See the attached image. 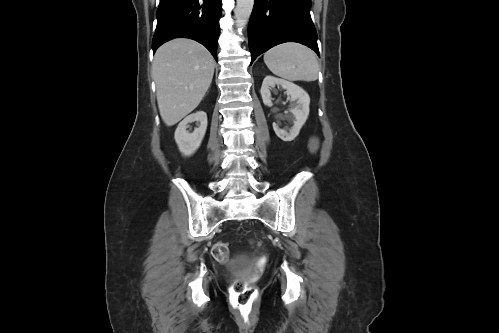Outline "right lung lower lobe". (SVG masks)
I'll list each match as a JSON object with an SVG mask.
<instances>
[{
  "instance_id": "right-lung-lower-lobe-1",
  "label": "right lung lower lobe",
  "mask_w": 499,
  "mask_h": 333,
  "mask_svg": "<svg viewBox=\"0 0 499 333\" xmlns=\"http://www.w3.org/2000/svg\"><path fill=\"white\" fill-rule=\"evenodd\" d=\"M153 53L163 43L186 37L203 44L217 60L221 0H160Z\"/></svg>"
}]
</instances>
